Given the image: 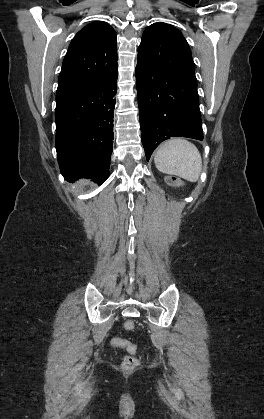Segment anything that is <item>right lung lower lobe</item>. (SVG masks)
<instances>
[{
  "label": "right lung lower lobe",
  "mask_w": 264,
  "mask_h": 419,
  "mask_svg": "<svg viewBox=\"0 0 264 419\" xmlns=\"http://www.w3.org/2000/svg\"><path fill=\"white\" fill-rule=\"evenodd\" d=\"M117 75L56 94V150L69 182L92 178L101 185L110 175Z\"/></svg>",
  "instance_id": "obj_1"
}]
</instances>
